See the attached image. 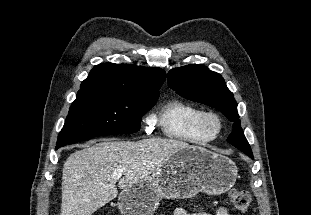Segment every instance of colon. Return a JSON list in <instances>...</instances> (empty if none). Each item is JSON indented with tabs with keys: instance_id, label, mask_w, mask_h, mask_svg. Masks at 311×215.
I'll use <instances>...</instances> for the list:
<instances>
[{
	"instance_id": "colon-1",
	"label": "colon",
	"mask_w": 311,
	"mask_h": 215,
	"mask_svg": "<svg viewBox=\"0 0 311 215\" xmlns=\"http://www.w3.org/2000/svg\"><path fill=\"white\" fill-rule=\"evenodd\" d=\"M229 198L234 208L244 214L250 212L252 198L247 190L233 188L229 192Z\"/></svg>"
}]
</instances>
